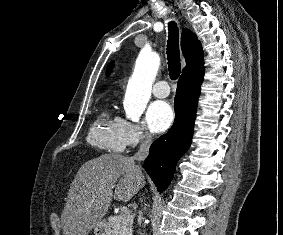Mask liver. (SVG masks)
<instances>
[{"mask_svg": "<svg viewBox=\"0 0 283 235\" xmlns=\"http://www.w3.org/2000/svg\"><path fill=\"white\" fill-rule=\"evenodd\" d=\"M144 185L141 168L130 157L110 153L87 161L68 192L61 215L63 234L88 235L102 221L113 197L127 202Z\"/></svg>", "mask_w": 283, "mask_h": 235, "instance_id": "6515ba94", "label": "liver"}]
</instances>
